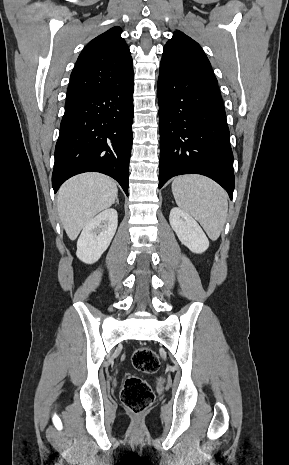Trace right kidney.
Instances as JSON below:
<instances>
[{
	"mask_svg": "<svg viewBox=\"0 0 289 465\" xmlns=\"http://www.w3.org/2000/svg\"><path fill=\"white\" fill-rule=\"evenodd\" d=\"M118 214L115 209H106L90 220L77 241V257L84 263L99 260L108 248L116 232Z\"/></svg>",
	"mask_w": 289,
	"mask_h": 465,
	"instance_id": "1",
	"label": "right kidney"
}]
</instances>
